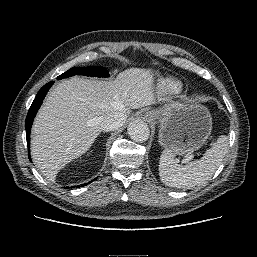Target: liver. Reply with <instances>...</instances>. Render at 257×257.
<instances>
[{
  "mask_svg": "<svg viewBox=\"0 0 257 257\" xmlns=\"http://www.w3.org/2000/svg\"><path fill=\"white\" fill-rule=\"evenodd\" d=\"M154 74L130 68L114 81L72 77L47 96L32 128L31 154L41 173L55 180L58 171L81 156L102 131L101 119L114 112L129 114L155 104Z\"/></svg>",
  "mask_w": 257,
  "mask_h": 257,
  "instance_id": "1",
  "label": "liver"
}]
</instances>
